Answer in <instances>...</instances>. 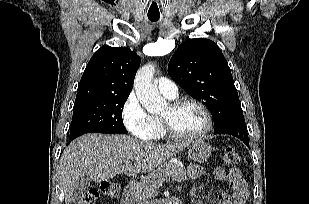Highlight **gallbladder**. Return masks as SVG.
I'll use <instances>...</instances> for the list:
<instances>
[{
  "mask_svg": "<svg viewBox=\"0 0 309 204\" xmlns=\"http://www.w3.org/2000/svg\"><path fill=\"white\" fill-rule=\"evenodd\" d=\"M90 180L88 177L79 178L74 185L71 201L75 202L81 199L83 194L89 189Z\"/></svg>",
  "mask_w": 309,
  "mask_h": 204,
  "instance_id": "bac80fb5",
  "label": "gallbladder"
}]
</instances>
